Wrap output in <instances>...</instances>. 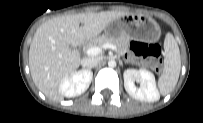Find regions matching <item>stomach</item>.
Listing matches in <instances>:
<instances>
[{"mask_svg": "<svg viewBox=\"0 0 203 123\" xmlns=\"http://www.w3.org/2000/svg\"><path fill=\"white\" fill-rule=\"evenodd\" d=\"M133 25L136 26L133 29ZM106 35H124L129 38H144L147 41L155 42L160 37V28L158 24L151 18H144L141 19V16H138L136 19H133L131 22H122V21H115L111 23L105 29Z\"/></svg>", "mask_w": 203, "mask_h": 123, "instance_id": "1", "label": "stomach"}]
</instances>
